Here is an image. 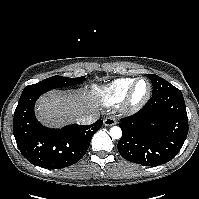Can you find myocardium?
I'll return each instance as SVG.
<instances>
[{"label":"myocardium","instance_id":"1","mask_svg":"<svg viewBox=\"0 0 199 199\" xmlns=\"http://www.w3.org/2000/svg\"><path fill=\"white\" fill-rule=\"evenodd\" d=\"M140 81H145L148 84V90H147V93L144 95L143 98L135 101L133 99V96H134L136 86ZM151 93H152V85H151L150 80L147 79L146 77H138L131 84V86H130V88H129V90H128V92H127V94H126V96H125V98L122 102L123 109L126 112H129V113L137 112L148 102V100L151 97Z\"/></svg>","mask_w":199,"mask_h":199}]
</instances>
